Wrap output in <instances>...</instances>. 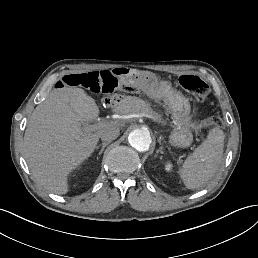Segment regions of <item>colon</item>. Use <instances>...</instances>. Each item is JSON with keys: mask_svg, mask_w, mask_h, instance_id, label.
I'll return each instance as SVG.
<instances>
[{"mask_svg": "<svg viewBox=\"0 0 258 258\" xmlns=\"http://www.w3.org/2000/svg\"><path fill=\"white\" fill-rule=\"evenodd\" d=\"M180 85L199 102H203L208 94V85L197 75H183L179 78ZM60 86L81 87L93 93L112 94L115 92H132L134 87L129 82L118 80L113 71H95L81 74H69L62 78ZM209 121L217 124L216 118Z\"/></svg>", "mask_w": 258, "mask_h": 258, "instance_id": "obj_1", "label": "colon"}]
</instances>
